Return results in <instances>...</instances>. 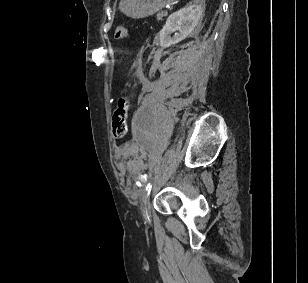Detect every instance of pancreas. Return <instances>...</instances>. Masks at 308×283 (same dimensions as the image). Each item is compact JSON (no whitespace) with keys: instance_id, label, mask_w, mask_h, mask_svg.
<instances>
[{"instance_id":"cf45deb5","label":"pancreas","mask_w":308,"mask_h":283,"mask_svg":"<svg viewBox=\"0 0 308 283\" xmlns=\"http://www.w3.org/2000/svg\"><path fill=\"white\" fill-rule=\"evenodd\" d=\"M165 16H167V12L161 11L157 14V19L161 21Z\"/></svg>"}]
</instances>
